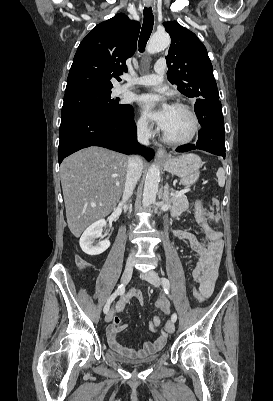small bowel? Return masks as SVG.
Returning <instances> with one entry per match:
<instances>
[{
  "label": "small bowel",
  "instance_id": "c3829d8e",
  "mask_svg": "<svg viewBox=\"0 0 273 401\" xmlns=\"http://www.w3.org/2000/svg\"><path fill=\"white\" fill-rule=\"evenodd\" d=\"M196 221L198 224H202L203 229H205V236L201 241H199L193 234L185 232L182 228L177 229L176 234L177 236L182 237L190 249L198 256V262L193 271H202L207 278L205 284H198V300L202 302L211 296L215 288L218 278V266L223 252V243L220 234L211 228V224L208 222V216L198 215ZM210 221L211 223L216 224L218 223L219 218L218 216L213 215L211 216ZM135 294H139L138 289L132 293L130 299L117 305L116 309L118 313H122L124 311L126 303L129 300L134 299ZM98 303L108 304L109 296L99 295ZM161 309L164 312H168L170 307L168 305H164ZM159 324L160 318L155 316L154 319L149 323V329L153 332H158ZM126 329L127 326L122 323L121 317L119 315H114L107 328V339L111 348L118 353L125 355L129 354L133 356L135 355L138 357L154 355L162 348L163 345L167 343V333L159 332L157 335V340L146 343L143 349L137 352H129L128 349L125 348L118 340V335L124 332Z\"/></svg>",
  "mask_w": 273,
  "mask_h": 401
}]
</instances>
